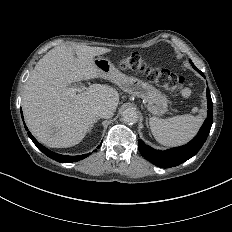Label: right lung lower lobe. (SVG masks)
Returning a JSON list of instances; mask_svg holds the SVG:
<instances>
[{
  "instance_id": "obj_1",
  "label": "right lung lower lobe",
  "mask_w": 232,
  "mask_h": 232,
  "mask_svg": "<svg viewBox=\"0 0 232 232\" xmlns=\"http://www.w3.org/2000/svg\"><path fill=\"white\" fill-rule=\"evenodd\" d=\"M24 125H25V123H24ZM25 128H26V130H28L26 126H25ZM28 135L33 140L34 144L36 145V147L39 150H41L45 155H47L51 159L56 160L60 163L77 162V161L82 160L90 155V153L78 155V156H67V155L57 154L55 152L50 151L49 149H47L46 147H44L40 143H38V141L32 136V134L30 132H28ZM97 148H100V145Z\"/></svg>"
}]
</instances>
